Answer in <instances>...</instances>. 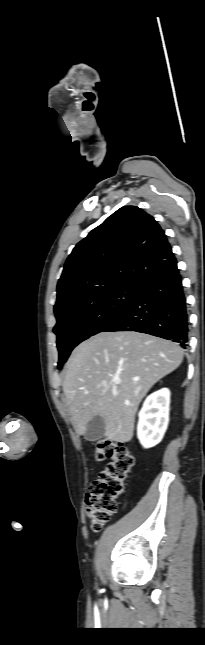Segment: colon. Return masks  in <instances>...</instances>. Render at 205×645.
I'll use <instances>...</instances> for the list:
<instances>
[{"label":"colon","mask_w":205,"mask_h":645,"mask_svg":"<svg viewBox=\"0 0 205 645\" xmlns=\"http://www.w3.org/2000/svg\"><path fill=\"white\" fill-rule=\"evenodd\" d=\"M95 458L97 461L111 460L93 481L86 499V513L91 521V529L99 531L117 511V498L124 492L125 483L134 466V457L124 444L101 439L96 443Z\"/></svg>","instance_id":"obj_1"}]
</instances>
